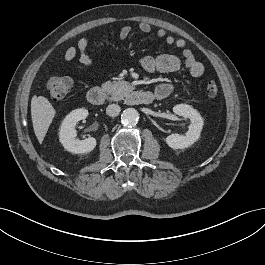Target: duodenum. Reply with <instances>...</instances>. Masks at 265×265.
<instances>
[{"label":"duodenum","instance_id":"duodenum-1","mask_svg":"<svg viewBox=\"0 0 265 265\" xmlns=\"http://www.w3.org/2000/svg\"><path fill=\"white\" fill-rule=\"evenodd\" d=\"M87 100L94 106H100L105 103L106 95L100 87H93L87 92ZM155 100V95L144 90H131L125 101L130 105H149Z\"/></svg>","mask_w":265,"mask_h":265}]
</instances>
